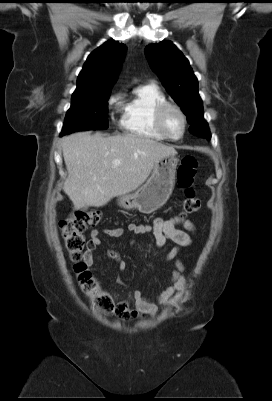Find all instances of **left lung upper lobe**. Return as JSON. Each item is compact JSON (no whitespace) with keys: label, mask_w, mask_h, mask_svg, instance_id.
<instances>
[{"label":"left lung upper lobe","mask_w":272,"mask_h":401,"mask_svg":"<svg viewBox=\"0 0 272 401\" xmlns=\"http://www.w3.org/2000/svg\"><path fill=\"white\" fill-rule=\"evenodd\" d=\"M145 55L163 86L186 114L191 124L189 131L196 136L210 139L209 127L203 118L198 81L188 59L170 41L146 46Z\"/></svg>","instance_id":"1"}]
</instances>
